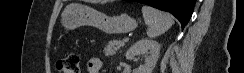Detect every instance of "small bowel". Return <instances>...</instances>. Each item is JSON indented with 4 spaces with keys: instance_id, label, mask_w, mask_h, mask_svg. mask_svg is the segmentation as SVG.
Here are the masks:
<instances>
[{
    "instance_id": "obj_1",
    "label": "small bowel",
    "mask_w": 244,
    "mask_h": 73,
    "mask_svg": "<svg viewBox=\"0 0 244 73\" xmlns=\"http://www.w3.org/2000/svg\"><path fill=\"white\" fill-rule=\"evenodd\" d=\"M101 60L98 58H91L87 62V72L88 73H100L101 72Z\"/></svg>"
}]
</instances>
